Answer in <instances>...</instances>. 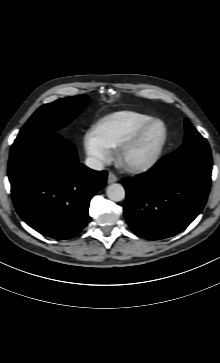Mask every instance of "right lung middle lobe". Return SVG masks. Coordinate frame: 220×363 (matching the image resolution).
I'll return each instance as SVG.
<instances>
[{
    "label": "right lung middle lobe",
    "instance_id": "dd1d6c3e",
    "mask_svg": "<svg viewBox=\"0 0 220 363\" xmlns=\"http://www.w3.org/2000/svg\"><path fill=\"white\" fill-rule=\"evenodd\" d=\"M86 95L62 98L41 106L19 132L11 151L37 137L54 133L75 118L87 105Z\"/></svg>",
    "mask_w": 220,
    "mask_h": 363
}]
</instances>
